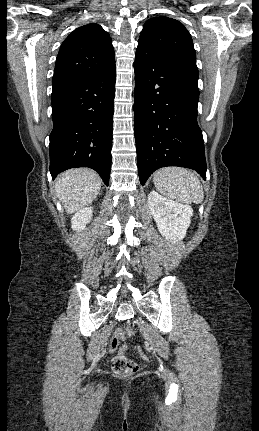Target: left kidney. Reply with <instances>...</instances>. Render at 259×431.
<instances>
[{
    "instance_id": "left-kidney-1",
    "label": "left kidney",
    "mask_w": 259,
    "mask_h": 431,
    "mask_svg": "<svg viewBox=\"0 0 259 431\" xmlns=\"http://www.w3.org/2000/svg\"><path fill=\"white\" fill-rule=\"evenodd\" d=\"M148 205L159 232L166 240L178 242L185 237L193 214L191 206L175 202L156 191L149 193Z\"/></svg>"
}]
</instances>
